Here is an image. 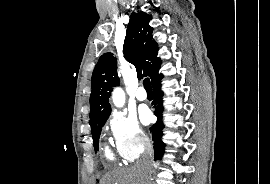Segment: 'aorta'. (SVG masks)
Returning a JSON list of instances; mask_svg holds the SVG:
<instances>
[{
	"label": "aorta",
	"instance_id": "762f6f07",
	"mask_svg": "<svg viewBox=\"0 0 270 184\" xmlns=\"http://www.w3.org/2000/svg\"><path fill=\"white\" fill-rule=\"evenodd\" d=\"M112 100L116 107H122L125 103V94L121 88H116L112 94Z\"/></svg>",
	"mask_w": 270,
	"mask_h": 184
}]
</instances>
